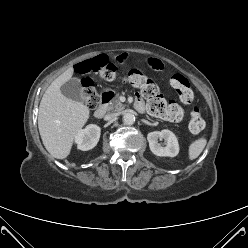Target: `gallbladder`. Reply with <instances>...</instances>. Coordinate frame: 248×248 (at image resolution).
<instances>
[{
  "instance_id": "obj_1",
  "label": "gallbladder",
  "mask_w": 248,
  "mask_h": 248,
  "mask_svg": "<svg viewBox=\"0 0 248 248\" xmlns=\"http://www.w3.org/2000/svg\"><path fill=\"white\" fill-rule=\"evenodd\" d=\"M61 93L74 101L83 102L82 86L78 78H71L60 87Z\"/></svg>"
}]
</instances>
